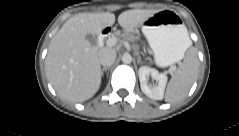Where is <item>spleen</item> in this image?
I'll use <instances>...</instances> for the list:
<instances>
[{
  "label": "spleen",
  "instance_id": "3e777b00",
  "mask_svg": "<svg viewBox=\"0 0 239 136\" xmlns=\"http://www.w3.org/2000/svg\"><path fill=\"white\" fill-rule=\"evenodd\" d=\"M187 41L190 46L192 41L189 37H187ZM198 65L197 55L194 51H191L167 85L165 93L166 102L176 103L187 96L192 84L197 78Z\"/></svg>",
  "mask_w": 239,
  "mask_h": 136
}]
</instances>
